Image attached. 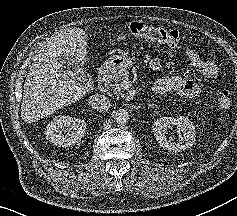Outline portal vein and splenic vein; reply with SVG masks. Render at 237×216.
I'll use <instances>...</instances> for the list:
<instances>
[{
    "label": "portal vein and splenic vein",
    "mask_w": 237,
    "mask_h": 216,
    "mask_svg": "<svg viewBox=\"0 0 237 216\" xmlns=\"http://www.w3.org/2000/svg\"><path fill=\"white\" fill-rule=\"evenodd\" d=\"M130 84H131V83H130V81H128V80H126V81H120V82H118V84H117L116 87L126 89V88H129Z\"/></svg>",
    "instance_id": "1"
}]
</instances>
